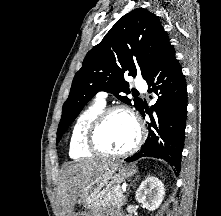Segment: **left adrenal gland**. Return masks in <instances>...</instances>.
<instances>
[{
	"label": "left adrenal gland",
	"instance_id": "1",
	"mask_svg": "<svg viewBox=\"0 0 221 216\" xmlns=\"http://www.w3.org/2000/svg\"><path fill=\"white\" fill-rule=\"evenodd\" d=\"M137 178H138V176L136 177V179L135 180H137ZM135 180H134V182H135ZM127 201V199L125 200V202Z\"/></svg>",
	"mask_w": 221,
	"mask_h": 216
}]
</instances>
